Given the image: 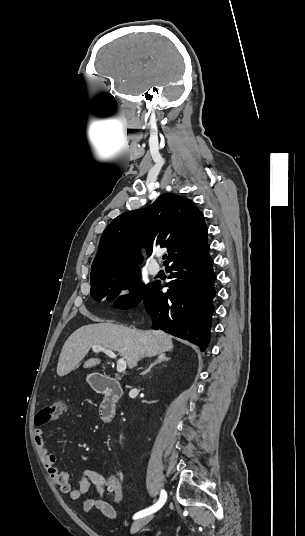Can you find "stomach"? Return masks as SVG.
I'll return each mask as SVG.
<instances>
[{"label": "stomach", "instance_id": "0dacf381", "mask_svg": "<svg viewBox=\"0 0 305 536\" xmlns=\"http://www.w3.org/2000/svg\"><path fill=\"white\" fill-rule=\"evenodd\" d=\"M91 378H93V376H87V382H88V384H91Z\"/></svg>", "mask_w": 305, "mask_h": 536}]
</instances>
